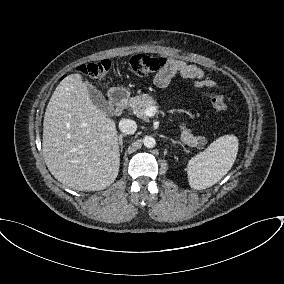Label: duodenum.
I'll use <instances>...</instances> for the list:
<instances>
[{
	"label": "duodenum",
	"instance_id": "410a0bca",
	"mask_svg": "<svg viewBox=\"0 0 284 284\" xmlns=\"http://www.w3.org/2000/svg\"><path fill=\"white\" fill-rule=\"evenodd\" d=\"M127 99V91L118 88L111 90L109 94V103L112 111L116 114L121 113L127 102Z\"/></svg>",
	"mask_w": 284,
	"mask_h": 284
}]
</instances>
